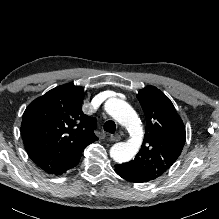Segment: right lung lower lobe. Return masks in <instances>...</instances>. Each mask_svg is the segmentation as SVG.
<instances>
[{"mask_svg": "<svg viewBox=\"0 0 219 219\" xmlns=\"http://www.w3.org/2000/svg\"><path fill=\"white\" fill-rule=\"evenodd\" d=\"M76 165H77V164H75V165H73V166H71V167H69V168L60 170V171H58V172H56V173H53V175H56V176L62 175L63 173H66L68 170H70L71 168H73V167L76 166Z\"/></svg>", "mask_w": 219, "mask_h": 219, "instance_id": "1", "label": "right lung lower lobe"}]
</instances>
